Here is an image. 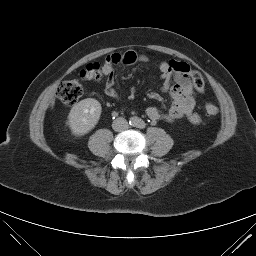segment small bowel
<instances>
[{"instance_id": "c3829d8e", "label": "small bowel", "mask_w": 256, "mask_h": 256, "mask_svg": "<svg viewBox=\"0 0 256 256\" xmlns=\"http://www.w3.org/2000/svg\"><path fill=\"white\" fill-rule=\"evenodd\" d=\"M110 61L104 62L103 75L107 77L104 93L107 97L118 99L115 89L114 66L118 64L132 65L138 62L145 63L149 60L145 54H138L135 51L125 53H114L109 56ZM160 78L163 81L162 89L169 91L173 102L165 113L156 107L146 109L147 116L154 121L162 120L173 123L179 119L186 118L193 124L201 121L200 116L194 111L195 90L191 80L190 67L179 61H162L159 65Z\"/></svg>"}]
</instances>
